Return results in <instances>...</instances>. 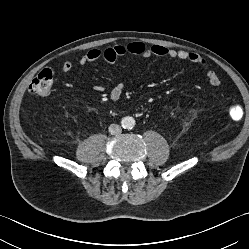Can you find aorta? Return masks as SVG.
Wrapping results in <instances>:
<instances>
[{
	"label": "aorta",
	"instance_id": "obj_1",
	"mask_svg": "<svg viewBox=\"0 0 249 249\" xmlns=\"http://www.w3.org/2000/svg\"><path fill=\"white\" fill-rule=\"evenodd\" d=\"M135 123V119L131 116H127L122 119V126L125 129H132L135 126Z\"/></svg>",
	"mask_w": 249,
	"mask_h": 249
}]
</instances>
